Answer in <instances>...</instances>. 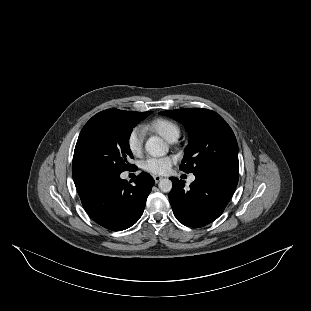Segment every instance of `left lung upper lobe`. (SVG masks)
Returning a JSON list of instances; mask_svg holds the SVG:
<instances>
[{"label":"left lung upper lobe","instance_id":"1","mask_svg":"<svg viewBox=\"0 0 311 311\" xmlns=\"http://www.w3.org/2000/svg\"><path fill=\"white\" fill-rule=\"evenodd\" d=\"M159 114L184 124L190 141L180 169L194 175L219 168L239 169L238 144L226 121L216 112L184 108Z\"/></svg>","mask_w":311,"mask_h":311}]
</instances>
